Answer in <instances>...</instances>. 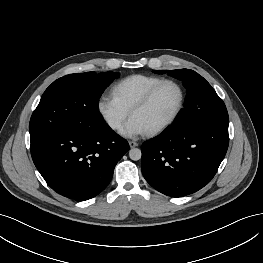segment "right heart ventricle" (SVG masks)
<instances>
[{
	"instance_id": "1",
	"label": "right heart ventricle",
	"mask_w": 263,
	"mask_h": 263,
	"mask_svg": "<svg viewBox=\"0 0 263 263\" xmlns=\"http://www.w3.org/2000/svg\"><path fill=\"white\" fill-rule=\"evenodd\" d=\"M163 80L154 75L135 74L121 79L111 88V95L121 106L130 111L143 95L156 83Z\"/></svg>"
}]
</instances>
